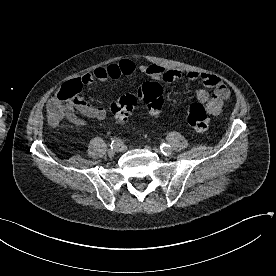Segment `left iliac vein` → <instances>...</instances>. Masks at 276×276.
<instances>
[{
    "label": "left iliac vein",
    "instance_id": "left-iliac-vein-1",
    "mask_svg": "<svg viewBox=\"0 0 276 276\" xmlns=\"http://www.w3.org/2000/svg\"><path fill=\"white\" fill-rule=\"evenodd\" d=\"M155 152H160L159 151V149H153ZM163 154H165V155H167V156H171L172 155V150L171 151H169V152H167V153H163Z\"/></svg>",
    "mask_w": 276,
    "mask_h": 276
}]
</instances>
